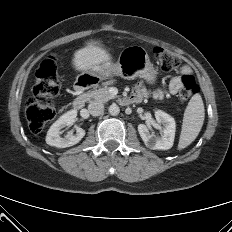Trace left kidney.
Masks as SVG:
<instances>
[{
	"label": "left kidney",
	"instance_id": "obj_1",
	"mask_svg": "<svg viewBox=\"0 0 232 232\" xmlns=\"http://www.w3.org/2000/svg\"><path fill=\"white\" fill-rule=\"evenodd\" d=\"M157 123L163 125V134L161 137H154L150 134L148 127L145 124L138 125V132L145 145L153 150H168L173 146L176 123L173 117L169 114L157 110L155 111Z\"/></svg>",
	"mask_w": 232,
	"mask_h": 232
}]
</instances>
